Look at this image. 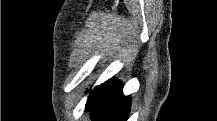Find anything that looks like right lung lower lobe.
<instances>
[{"mask_svg":"<svg viewBox=\"0 0 217 121\" xmlns=\"http://www.w3.org/2000/svg\"><path fill=\"white\" fill-rule=\"evenodd\" d=\"M86 107L93 121H125L130 98L122 94L120 82L110 79L90 93Z\"/></svg>","mask_w":217,"mask_h":121,"instance_id":"98d812e1","label":"right lung lower lobe"}]
</instances>
